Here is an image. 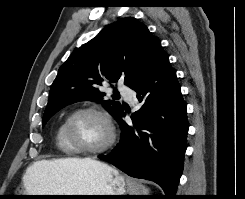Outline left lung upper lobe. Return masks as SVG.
Returning a JSON list of instances; mask_svg holds the SVG:
<instances>
[{
    "instance_id": "1",
    "label": "left lung upper lobe",
    "mask_w": 245,
    "mask_h": 199,
    "mask_svg": "<svg viewBox=\"0 0 245 199\" xmlns=\"http://www.w3.org/2000/svg\"><path fill=\"white\" fill-rule=\"evenodd\" d=\"M160 40L133 17L119 19L94 39L76 49L59 68L43 115V124L65 106L85 100L101 103L114 117L123 106L103 100L99 87L124 79L131 87L149 69L162 50Z\"/></svg>"
}]
</instances>
